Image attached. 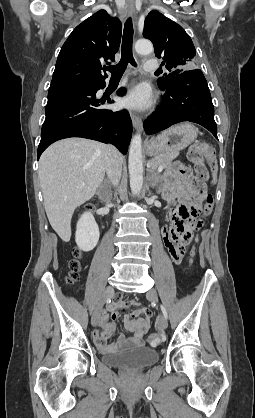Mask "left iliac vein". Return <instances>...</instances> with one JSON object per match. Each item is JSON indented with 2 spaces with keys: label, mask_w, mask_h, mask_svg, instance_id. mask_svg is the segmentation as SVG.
I'll use <instances>...</instances> for the list:
<instances>
[{
  "label": "left iliac vein",
  "mask_w": 255,
  "mask_h": 418,
  "mask_svg": "<svg viewBox=\"0 0 255 418\" xmlns=\"http://www.w3.org/2000/svg\"><path fill=\"white\" fill-rule=\"evenodd\" d=\"M147 298L150 299L151 301L154 302H158V295L155 289H151L147 292L146 294ZM158 325L160 326V328L162 329H166L168 327V321L167 318L163 315L160 314L159 319H158Z\"/></svg>",
  "instance_id": "1"
}]
</instances>
